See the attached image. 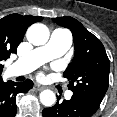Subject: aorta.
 I'll use <instances>...</instances> for the list:
<instances>
[{
	"label": "aorta",
	"instance_id": "762f6f07",
	"mask_svg": "<svg viewBox=\"0 0 117 117\" xmlns=\"http://www.w3.org/2000/svg\"><path fill=\"white\" fill-rule=\"evenodd\" d=\"M27 40L35 46L44 45L49 39V29L46 25L35 23L31 25L26 32ZM40 102L50 107L56 102V95L51 90H43L40 93Z\"/></svg>",
	"mask_w": 117,
	"mask_h": 117
}]
</instances>
